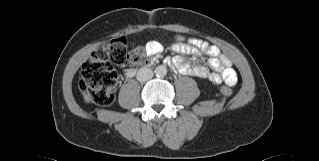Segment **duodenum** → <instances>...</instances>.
I'll list each match as a JSON object with an SVG mask.
<instances>
[{
  "label": "duodenum",
  "mask_w": 319,
  "mask_h": 161,
  "mask_svg": "<svg viewBox=\"0 0 319 161\" xmlns=\"http://www.w3.org/2000/svg\"><path fill=\"white\" fill-rule=\"evenodd\" d=\"M141 70V68L139 69H128L126 70L125 72V75L128 76V77H131L133 75H135L137 73V71Z\"/></svg>",
  "instance_id": "1"
}]
</instances>
